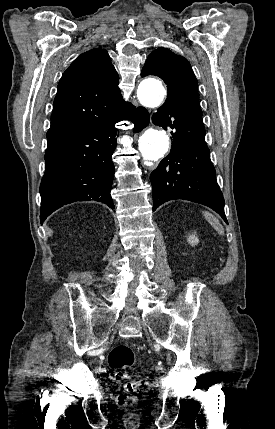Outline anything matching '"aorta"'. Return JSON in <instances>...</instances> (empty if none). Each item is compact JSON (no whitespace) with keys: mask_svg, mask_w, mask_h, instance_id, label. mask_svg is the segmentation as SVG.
Instances as JSON below:
<instances>
[{"mask_svg":"<svg viewBox=\"0 0 275 429\" xmlns=\"http://www.w3.org/2000/svg\"><path fill=\"white\" fill-rule=\"evenodd\" d=\"M140 103L145 107H158L165 97V89L160 81L148 78L143 80L137 90ZM169 148V137L164 130L149 128L139 137V150L146 161L159 160Z\"/></svg>","mask_w":275,"mask_h":429,"instance_id":"obj_1","label":"aorta"}]
</instances>
